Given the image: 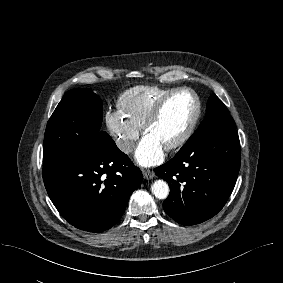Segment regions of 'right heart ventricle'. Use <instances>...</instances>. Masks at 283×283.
Here are the masks:
<instances>
[{
  "label": "right heart ventricle",
  "instance_id": "e07e8e85",
  "mask_svg": "<svg viewBox=\"0 0 283 283\" xmlns=\"http://www.w3.org/2000/svg\"><path fill=\"white\" fill-rule=\"evenodd\" d=\"M173 88L158 86H136L124 92L118 100L123 116L138 129L149 115L154 104Z\"/></svg>",
  "mask_w": 283,
  "mask_h": 283
}]
</instances>
